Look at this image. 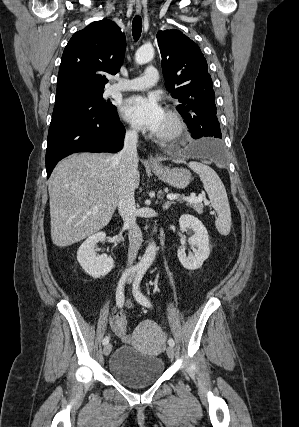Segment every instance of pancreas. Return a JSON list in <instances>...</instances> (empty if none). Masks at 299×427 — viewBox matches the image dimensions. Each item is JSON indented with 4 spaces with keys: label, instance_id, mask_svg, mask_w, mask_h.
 Returning <instances> with one entry per match:
<instances>
[{
    "label": "pancreas",
    "instance_id": "cf45deb5",
    "mask_svg": "<svg viewBox=\"0 0 299 427\" xmlns=\"http://www.w3.org/2000/svg\"><path fill=\"white\" fill-rule=\"evenodd\" d=\"M176 196L178 197L180 195L176 194ZM187 205H189L191 208H193L198 214H201L203 212L204 205L202 202H188Z\"/></svg>",
    "mask_w": 299,
    "mask_h": 427
}]
</instances>
